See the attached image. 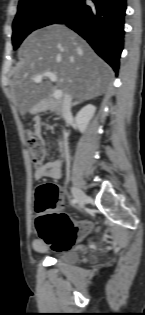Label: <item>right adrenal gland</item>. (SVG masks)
<instances>
[{
  "mask_svg": "<svg viewBox=\"0 0 145 315\" xmlns=\"http://www.w3.org/2000/svg\"><path fill=\"white\" fill-rule=\"evenodd\" d=\"M81 102H82V100H78V101H76V102L73 103V106H76V105H78V104L81 103Z\"/></svg>",
  "mask_w": 145,
  "mask_h": 315,
  "instance_id": "1",
  "label": "right adrenal gland"
}]
</instances>
